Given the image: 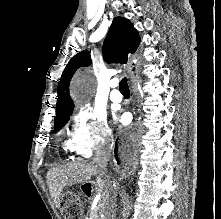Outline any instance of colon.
I'll return each mask as SVG.
<instances>
[{"instance_id": "colon-1", "label": "colon", "mask_w": 221, "mask_h": 219, "mask_svg": "<svg viewBox=\"0 0 221 219\" xmlns=\"http://www.w3.org/2000/svg\"><path fill=\"white\" fill-rule=\"evenodd\" d=\"M64 208L68 219H79L81 215L80 201L76 194L68 193L63 198Z\"/></svg>"}]
</instances>
